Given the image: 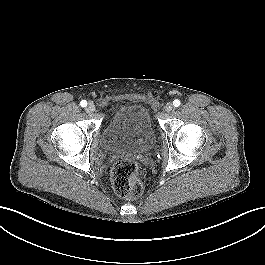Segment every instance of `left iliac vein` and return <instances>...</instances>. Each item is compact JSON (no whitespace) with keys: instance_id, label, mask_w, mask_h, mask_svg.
<instances>
[{"instance_id":"left-iliac-vein-1","label":"left iliac vein","mask_w":265,"mask_h":265,"mask_svg":"<svg viewBox=\"0 0 265 265\" xmlns=\"http://www.w3.org/2000/svg\"><path fill=\"white\" fill-rule=\"evenodd\" d=\"M174 105L172 103H167L166 106H165V110L166 112L168 113H172L174 111Z\"/></svg>"}]
</instances>
